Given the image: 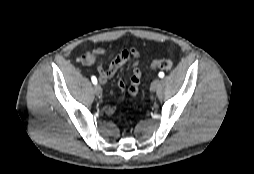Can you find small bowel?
Segmentation results:
<instances>
[{
    "label": "small bowel",
    "instance_id": "small-bowel-1",
    "mask_svg": "<svg viewBox=\"0 0 254 174\" xmlns=\"http://www.w3.org/2000/svg\"><path fill=\"white\" fill-rule=\"evenodd\" d=\"M107 54V50L104 48H98L89 52L84 53L80 57L81 63L85 65H92L96 63L97 58L99 56ZM119 56V57H117ZM111 57H117L114 59L108 68H103L101 65H98V73L99 80L102 84H105L108 80H110L115 73L124 65L129 64L133 67L132 74L130 76V85L128 87V92L131 95H135L138 92L142 71L138 67V53L136 51L133 52V58H130V53L127 50L117 49L112 54ZM120 88L124 87V83L120 81L118 83ZM115 109L112 106H105L104 112L107 115H112Z\"/></svg>",
    "mask_w": 254,
    "mask_h": 174
}]
</instances>
